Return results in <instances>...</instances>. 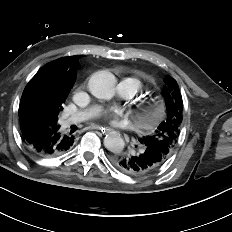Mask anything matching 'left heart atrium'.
<instances>
[{
	"mask_svg": "<svg viewBox=\"0 0 232 232\" xmlns=\"http://www.w3.org/2000/svg\"><path fill=\"white\" fill-rule=\"evenodd\" d=\"M116 118H117V114H114V113L106 114V115H105V119H106L107 121L113 122V121L116 120Z\"/></svg>",
	"mask_w": 232,
	"mask_h": 232,
	"instance_id": "1",
	"label": "left heart atrium"
}]
</instances>
